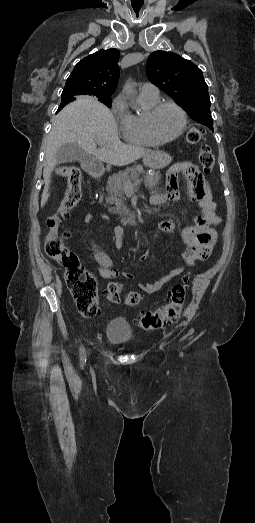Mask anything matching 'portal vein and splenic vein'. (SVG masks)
Masks as SVG:
<instances>
[{
	"mask_svg": "<svg viewBox=\"0 0 255 523\" xmlns=\"http://www.w3.org/2000/svg\"><path fill=\"white\" fill-rule=\"evenodd\" d=\"M139 184H142V179H135V181L131 182H125L124 184V190L125 195L127 197H133L135 195V188L139 186Z\"/></svg>",
	"mask_w": 255,
	"mask_h": 523,
	"instance_id": "obj_1",
	"label": "portal vein and splenic vein"
}]
</instances>
